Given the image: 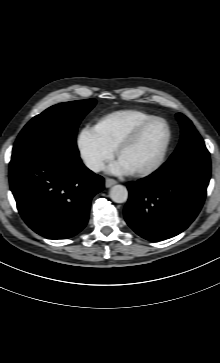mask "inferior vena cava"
<instances>
[{
	"instance_id": "inferior-vena-cava-1",
	"label": "inferior vena cava",
	"mask_w": 220,
	"mask_h": 363,
	"mask_svg": "<svg viewBox=\"0 0 220 363\" xmlns=\"http://www.w3.org/2000/svg\"><path fill=\"white\" fill-rule=\"evenodd\" d=\"M87 167L94 171L99 172L103 169L104 164L101 161L98 160H90L86 163Z\"/></svg>"
}]
</instances>
